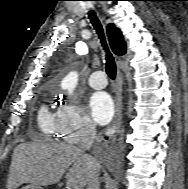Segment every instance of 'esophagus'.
Returning a JSON list of instances; mask_svg holds the SVG:
<instances>
[{
	"label": "esophagus",
	"mask_w": 188,
	"mask_h": 189,
	"mask_svg": "<svg viewBox=\"0 0 188 189\" xmlns=\"http://www.w3.org/2000/svg\"><path fill=\"white\" fill-rule=\"evenodd\" d=\"M121 86H122V72L118 69L117 73V89H116V97H115V104H116V112L112 124L107 129V134L111 136H115L117 133L121 120H122V110H121Z\"/></svg>",
	"instance_id": "esophagus-1"
}]
</instances>
